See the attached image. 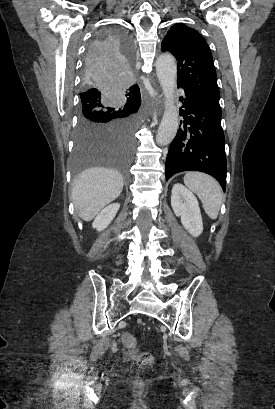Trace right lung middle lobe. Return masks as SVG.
<instances>
[{
    "mask_svg": "<svg viewBox=\"0 0 275 409\" xmlns=\"http://www.w3.org/2000/svg\"><path fill=\"white\" fill-rule=\"evenodd\" d=\"M135 44L123 24H105L89 43L79 76L78 124L71 157L72 177L90 173L91 167L112 165L129 181L130 162L136 149V128L141 101L125 102L120 92L131 85Z\"/></svg>",
    "mask_w": 275,
    "mask_h": 409,
    "instance_id": "1",
    "label": "right lung middle lobe"
}]
</instances>
